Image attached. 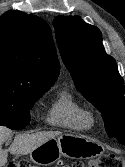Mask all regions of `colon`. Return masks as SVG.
<instances>
[{
    "mask_svg": "<svg viewBox=\"0 0 125 167\" xmlns=\"http://www.w3.org/2000/svg\"><path fill=\"white\" fill-rule=\"evenodd\" d=\"M60 167H125L123 159L115 154H104L95 160L84 162H73L71 164L62 165ZM4 167H34L28 160H16L7 163Z\"/></svg>",
    "mask_w": 125,
    "mask_h": 167,
    "instance_id": "obj_1",
    "label": "colon"
}]
</instances>
